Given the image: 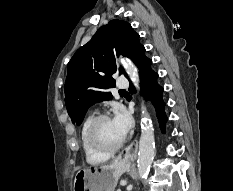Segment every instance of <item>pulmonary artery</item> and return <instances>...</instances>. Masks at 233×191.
<instances>
[{"label":"pulmonary artery","mask_w":233,"mask_h":191,"mask_svg":"<svg viewBox=\"0 0 233 191\" xmlns=\"http://www.w3.org/2000/svg\"><path fill=\"white\" fill-rule=\"evenodd\" d=\"M128 86H129V83H128V80L125 77L121 76V77L118 78V81H117V87L118 88L123 89V88H127Z\"/></svg>","instance_id":"obj_1"}]
</instances>
